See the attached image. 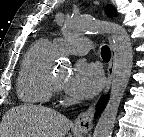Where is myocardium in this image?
<instances>
[{"instance_id": "1", "label": "myocardium", "mask_w": 144, "mask_h": 137, "mask_svg": "<svg viewBox=\"0 0 144 137\" xmlns=\"http://www.w3.org/2000/svg\"><path fill=\"white\" fill-rule=\"evenodd\" d=\"M50 86L54 93H61L63 90V84L59 82L55 75H51Z\"/></svg>"}]
</instances>
